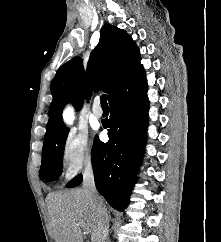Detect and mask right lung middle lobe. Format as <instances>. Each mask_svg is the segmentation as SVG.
I'll list each match as a JSON object with an SVG mask.
<instances>
[{"label":"right lung middle lobe","instance_id":"obj_1","mask_svg":"<svg viewBox=\"0 0 221 242\" xmlns=\"http://www.w3.org/2000/svg\"><path fill=\"white\" fill-rule=\"evenodd\" d=\"M68 129L46 138L42 149L40 178L48 182L56 180L62 172V158Z\"/></svg>","mask_w":221,"mask_h":242}]
</instances>
